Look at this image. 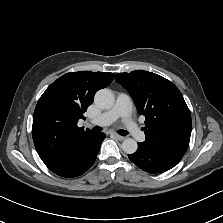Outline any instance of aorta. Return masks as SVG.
<instances>
[{
  "label": "aorta",
  "mask_w": 223,
  "mask_h": 223,
  "mask_svg": "<svg viewBox=\"0 0 223 223\" xmlns=\"http://www.w3.org/2000/svg\"><path fill=\"white\" fill-rule=\"evenodd\" d=\"M115 102L114 94L111 90L105 88L99 90L94 98V103L103 110H109ZM137 141L132 138H126L122 142V149L127 154H133L137 151Z\"/></svg>",
  "instance_id": "obj_1"
}]
</instances>
